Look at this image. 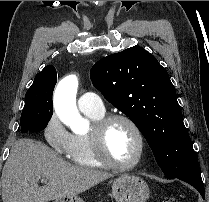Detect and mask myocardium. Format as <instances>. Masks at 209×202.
<instances>
[{
    "mask_svg": "<svg viewBox=\"0 0 209 202\" xmlns=\"http://www.w3.org/2000/svg\"><path fill=\"white\" fill-rule=\"evenodd\" d=\"M118 121L127 123L135 132L138 138V154L134 162L130 164H121L110 158L105 148V136L109 127ZM89 138L92 150L101 164L106 167L127 171L137 168L143 161L146 150V140L144 133L140 126L129 116L124 114H112L101 118L96 121L89 132Z\"/></svg>",
    "mask_w": 209,
    "mask_h": 202,
    "instance_id": "myocardium-1",
    "label": "myocardium"
}]
</instances>
